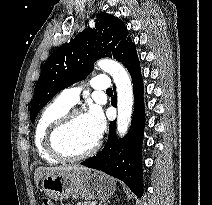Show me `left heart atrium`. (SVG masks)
Listing matches in <instances>:
<instances>
[{"mask_svg":"<svg viewBox=\"0 0 212 205\" xmlns=\"http://www.w3.org/2000/svg\"><path fill=\"white\" fill-rule=\"evenodd\" d=\"M83 118L96 139H99L105 130V120L98 108H90Z\"/></svg>","mask_w":212,"mask_h":205,"instance_id":"obj_1","label":"left heart atrium"}]
</instances>
